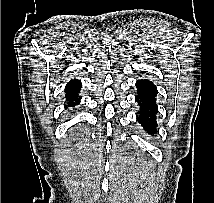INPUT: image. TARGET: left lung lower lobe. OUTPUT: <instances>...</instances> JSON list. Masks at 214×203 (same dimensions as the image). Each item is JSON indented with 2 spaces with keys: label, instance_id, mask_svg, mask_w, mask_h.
I'll use <instances>...</instances> for the list:
<instances>
[{
  "label": "left lung lower lobe",
  "instance_id": "1",
  "mask_svg": "<svg viewBox=\"0 0 214 203\" xmlns=\"http://www.w3.org/2000/svg\"><path fill=\"white\" fill-rule=\"evenodd\" d=\"M137 93L135 100L140 106L138 122L149 133H156L157 121L155 114L157 113L156 95L158 93L156 86L149 80H138L136 82Z\"/></svg>",
  "mask_w": 214,
  "mask_h": 203
}]
</instances>
